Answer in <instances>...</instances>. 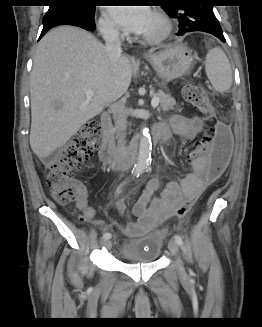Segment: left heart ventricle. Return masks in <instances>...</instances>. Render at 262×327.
<instances>
[{
  "mask_svg": "<svg viewBox=\"0 0 262 327\" xmlns=\"http://www.w3.org/2000/svg\"><path fill=\"white\" fill-rule=\"evenodd\" d=\"M157 30H158V24H157L156 20L154 19V17L152 16V19H151L148 27L142 34L153 33Z\"/></svg>",
  "mask_w": 262,
  "mask_h": 327,
  "instance_id": "obj_1",
  "label": "left heart ventricle"
}]
</instances>
